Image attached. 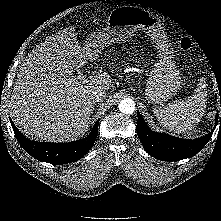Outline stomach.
Instances as JSON below:
<instances>
[{
	"label": "stomach",
	"mask_w": 221,
	"mask_h": 221,
	"mask_svg": "<svg viewBox=\"0 0 221 221\" xmlns=\"http://www.w3.org/2000/svg\"><path fill=\"white\" fill-rule=\"evenodd\" d=\"M137 30L144 31L156 43L159 56L147 80L146 99L155 104L165 102L177 92L182 81L165 41L163 24L152 13L137 6H119L108 16L107 27L88 35L85 46L98 53L106 45L129 39Z\"/></svg>",
	"instance_id": "1"
}]
</instances>
